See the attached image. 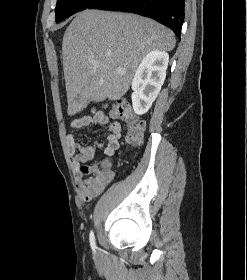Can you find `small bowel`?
Listing matches in <instances>:
<instances>
[{
	"label": "small bowel",
	"instance_id": "1",
	"mask_svg": "<svg viewBox=\"0 0 247 280\" xmlns=\"http://www.w3.org/2000/svg\"><path fill=\"white\" fill-rule=\"evenodd\" d=\"M94 125L107 127L109 134L106 143L95 142L89 146H82L77 141L76 132ZM121 132V124L103 112H97L92 117L84 116L72 121L71 130L67 136V145L74 171L75 186L80 196L85 200H91L102 193L112 181L113 173L110 172L109 177L106 179H99L92 175L87 176L86 166H82V164L88 163L95 158L97 148L102 149L106 155H113L119 148Z\"/></svg>",
	"mask_w": 247,
	"mask_h": 280
}]
</instances>
